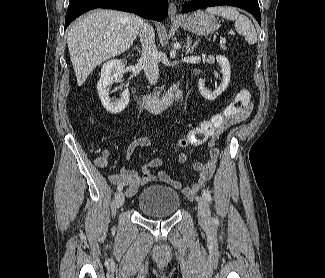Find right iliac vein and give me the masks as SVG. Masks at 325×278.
<instances>
[{"instance_id": "right-iliac-vein-1", "label": "right iliac vein", "mask_w": 325, "mask_h": 278, "mask_svg": "<svg viewBox=\"0 0 325 278\" xmlns=\"http://www.w3.org/2000/svg\"><path fill=\"white\" fill-rule=\"evenodd\" d=\"M125 196L124 193L119 191L115 196V204L117 207H121L124 204Z\"/></svg>"}]
</instances>
